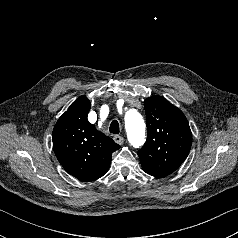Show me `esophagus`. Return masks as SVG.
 <instances>
[{"mask_svg":"<svg viewBox=\"0 0 238 238\" xmlns=\"http://www.w3.org/2000/svg\"><path fill=\"white\" fill-rule=\"evenodd\" d=\"M113 139L119 145H122L124 142V138L120 135H115Z\"/></svg>","mask_w":238,"mask_h":238,"instance_id":"obj_1","label":"esophagus"}]
</instances>
